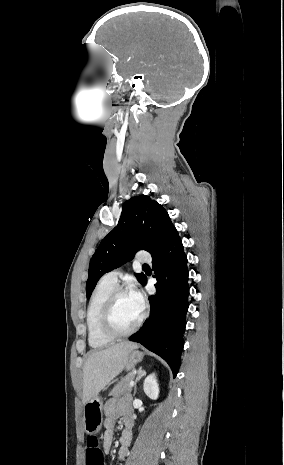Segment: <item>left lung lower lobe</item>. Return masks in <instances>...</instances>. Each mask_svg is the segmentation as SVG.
Listing matches in <instances>:
<instances>
[{"label": "left lung lower lobe", "instance_id": "obj_1", "mask_svg": "<svg viewBox=\"0 0 284 465\" xmlns=\"http://www.w3.org/2000/svg\"><path fill=\"white\" fill-rule=\"evenodd\" d=\"M152 258L153 277L158 280L155 284L157 294L149 298L151 312L145 327L132 335L130 341L141 343L161 356L175 377L181 362L189 306L187 256L177 230ZM146 282L145 277L141 284Z\"/></svg>", "mask_w": 284, "mask_h": 465}]
</instances>
